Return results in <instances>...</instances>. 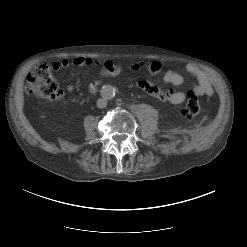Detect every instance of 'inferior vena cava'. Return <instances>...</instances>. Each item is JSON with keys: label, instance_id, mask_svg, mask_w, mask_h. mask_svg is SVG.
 Returning a JSON list of instances; mask_svg holds the SVG:
<instances>
[{"label": "inferior vena cava", "instance_id": "obj_1", "mask_svg": "<svg viewBox=\"0 0 247 247\" xmlns=\"http://www.w3.org/2000/svg\"><path fill=\"white\" fill-rule=\"evenodd\" d=\"M107 106V100L104 98H100L97 100V107L98 108H105Z\"/></svg>", "mask_w": 247, "mask_h": 247}]
</instances>
